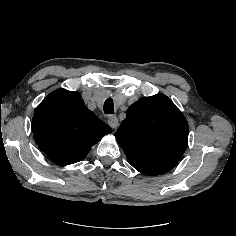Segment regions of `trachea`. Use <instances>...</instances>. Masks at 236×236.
<instances>
[{
    "instance_id": "3493384b",
    "label": "trachea",
    "mask_w": 236,
    "mask_h": 236,
    "mask_svg": "<svg viewBox=\"0 0 236 236\" xmlns=\"http://www.w3.org/2000/svg\"><path fill=\"white\" fill-rule=\"evenodd\" d=\"M104 112L106 114H112L114 112L113 99L108 98L104 103Z\"/></svg>"
}]
</instances>
